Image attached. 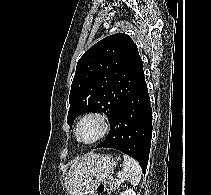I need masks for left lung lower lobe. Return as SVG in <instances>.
<instances>
[{"label": "left lung lower lobe", "mask_w": 211, "mask_h": 195, "mask_svg": "<svg viewBox=\"0 0 211 195\" xmlns=\"http://www.w3.org/2000/svg\"><path fill=\"white\" fill-rule=\"evenodd\" d=\"M152 138V108L145 78L110 121V132L95 148H113L133 158L146 172Z\"/></svg>", "instance_id": "1"}]
</instances>
